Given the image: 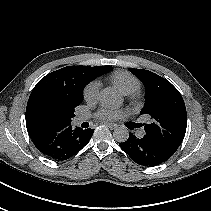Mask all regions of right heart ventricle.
<instances>
[{"label":"right heart ventricle","mask_w":211,"mask_h":211,"mask_svg":"<svg viewBox=\"0 0 211 211\" xmlns=\"http://www.w3.org/2000/svg\"><path fill=\"white\" fill-rule=\"evenodd\" d=\"M110 80L120 92L126 95L132 94L140 88L139 80L132 74L125 71L114 73Z\"/></svg>","instance_id":"obj_1"}]
</instances>
